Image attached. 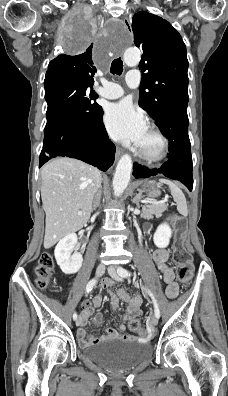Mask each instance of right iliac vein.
Listing matches in <instances>:
<instances>
[{
    "mask_svg": "<svg viewBox=\"0 0 228 396\" xmlns=\"http://www.w3.org/2000/svg\"><path fill=\"white\" fill-rule=\"evenodd\" d=\"M105 269H106L105 264H103V263L99 264L98 267H97V269H96V276H97V277H100L101 275H103L104 272H105ZM81 321H82V320H81V317H78V318L76 319V325H77V326H80Z\"/></svg>",
    "mask_w": 228,
    "mask_h": 396,
    "instance_id": "right-iliac-vein-1",
    "label": "right iliac vein"
}]
</instances>
